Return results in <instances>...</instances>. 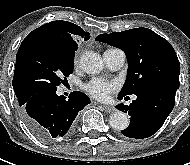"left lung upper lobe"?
<instances>
[{"label": "left lung upper lobe", "mask_w": 190, "mask_h": 165, "mask_svg": "<svg viewBox=\"0 0 190 165\" xmlns=\"http://www.w3.org/2000/svg\"><path fill=\"white\" fill-rule=\"evenodd\" d=\"M97 41L122 49L128 72L119 96L135 94L154 85L179 88L180 63L171 44L148 28L101 34Z\"/></svg>", "instance_id": "1"}]
</instances>
